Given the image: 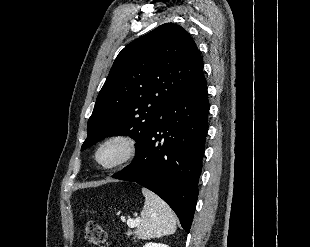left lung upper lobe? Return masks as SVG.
Returning <instances> with one entry per match:
<instances>
[{
  "mask_svg": "<svg viewBox=\"0 0 310 247\" xmlns=\"http://www.w3.org/2000/svg\"><path fill=\"white\" fill-rule=\"evenodd\" d=\"M203 69L195 42L181 26L160 25L117 56L88 120L81 150L108 136L144 144L166 107Z\"/></svg>",
  "mask_w": 310,
  "mask_h": 247,
  "instance_id": "left-lung-upper-lobe-1",
  "label": "left lung upper lobe"
}]
</instances>
